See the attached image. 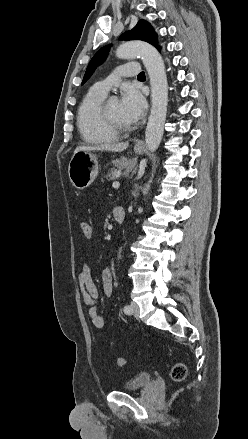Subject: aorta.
<instances>
[{
	"instance_id": "aorta-1",
	"label": "aorta",
	"mask_w": 248,
	"mask_h": 439,
	"mask_svg": "<svg viewBox=\"0 0 248 439\" xmlns=\"http://www.w3.org/2000/svg\"><path fill=\"white\" fill-rule=\"evenodd\" d=\"M116 55L121 59L140 56L148 72L151 85L152 106L148 119L145 140L149 151H155L161 142L168 105V82L163 59L150 44L142 41H130L121 44ZM121 250L119 251L118 258Z\"/></svg>"
}]
</instances>
